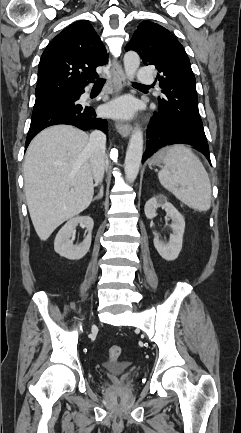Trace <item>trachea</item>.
<instances>
[{"mask_svg": "<svg viewBox=\"0 0 241 433\" xmlns=\"http://www.w3.org/2000/svg\"><path fill=\"white\" fill-rule=\"evenodd\" d=\"M105 79H98L97 81H96V85H103L104 83H105ZM135 85H140V86H144L143 84H140V83H134Z\"/></svg>", "mask_w": 241, "mask_h": 433, "instance_id": "1", "label": "trachea"}]
</instances>
